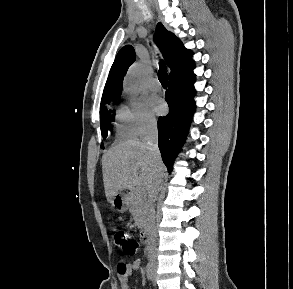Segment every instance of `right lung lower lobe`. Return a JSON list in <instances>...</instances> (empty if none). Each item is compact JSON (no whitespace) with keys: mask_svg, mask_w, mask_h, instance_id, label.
<instances>
[{"mask_svg":"<svg viewBox=\"0 0 293 289\" xmlns=\"http://www.w3.org/2000/svg\"><path fill=\"white\" fill-rule=\"evenodd\" d=\"M195 75L183 80H169L165 100L169 106L167 116L158 119V146L168 172L180 147L184 144L195 110Z\"/></svg>","mask_w":293,"mask_h":289,"instance_id":"1","label":"right lung lower lobe"}]
</instances>
